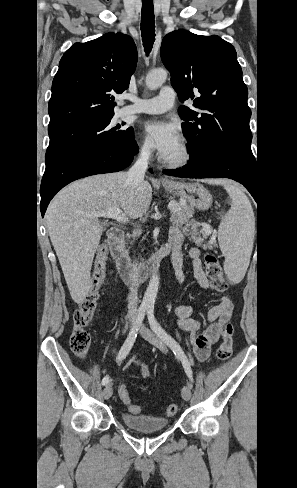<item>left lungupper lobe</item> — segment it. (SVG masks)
I'll use <instances>...</instances> for the list:
<instances>
[{"instance_id":"5c2ea615","label":"left lung upper lobe","mask_w":297,"mask_h":488,"mask_svg":"<svg viewBox=\"0 0 297 488\" xmlns=\"http://www.w3.org/2000/svg\"><path fill=\"white\" fill-rule=\"evenodd\" d=\"M161 58L180 101L193 102L191 108L178 109L192 160L211 152L255 159L248 89L234 47L217 35L180 29L164 37Z\"/></svg>"}]
</instances>
